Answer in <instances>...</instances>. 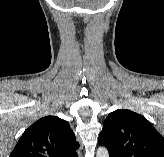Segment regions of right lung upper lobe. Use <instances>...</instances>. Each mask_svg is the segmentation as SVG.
Segmentation results:
<instances>
[{"label":"right lung upper lobe","mask_w":164,"mask_h":157,"mask_svg":"<svg viewBox=\"0 0 164 157\" xmlns=\"http://www.w3.org/2000/svg\"><path fill=\"white\" fill-rule=\"evenodd\" d=\"M77 148L79 143L69 124L46 116L23 133L10 157H71Z\"/></svg>","instance_id":"1"}]
</instances>
